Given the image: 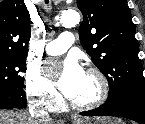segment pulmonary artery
<instances>
[{"label": "pulmonary artery", "instance_id": "1", "mask_svg": "<svg viewBox=\"0 0 145 124\" xmlns=\"http://www.w3.org/2000/svg\"><path fill=\"white\" fill-rule=\"evenodd\" d=\"M74 37L70 32H63L58 39L48 43L46 45V52L49 55H61L65 53L73 44Z\"/></svg>", "mask_w": 145, "mask_h": 124}]
</instances>
